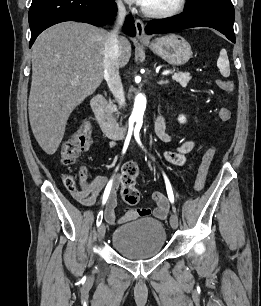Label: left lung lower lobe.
Instances as JSON below:
<instances>
[{
  "label": "left lung lower lobe",
  "instance_id": "obj_1",
  "mask_svg": "<svg viewBox=\"0 0 261 306\" xmlns=\"http://www.w3.org/2000/svg\"><path fill=\"white\" fill-rule=\"evenodd\" d=\"M235 11L232 2L208 4L185 11L177 16L150 21L147 34L169 33L192 27H211L235 43L233 23Z\"/></svg>",
  "mask_w": 261,
  "mask_h": 306
}]
</instances>
